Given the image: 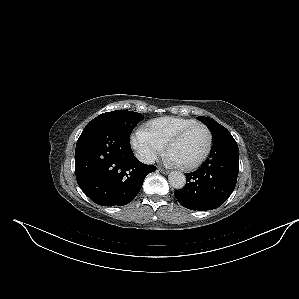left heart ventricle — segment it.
<instances>
[{"label": "left heart ventricle", "mask_w": 299, "mask_h": 299, "mask_svg": "<svg viewBox=\"0 0 299 299\" xmlns=\"http://www.w3.org/2000/svg\"><path fill=\"white\" fill-rule=\"evenodd\" d=\"M208 135L202 127L192 129L180 142L175 144L170 152L180 164H191L204 153Z\"/></svg>", "instance_id": "left-heart-ventricle-1"}]
</instances>
